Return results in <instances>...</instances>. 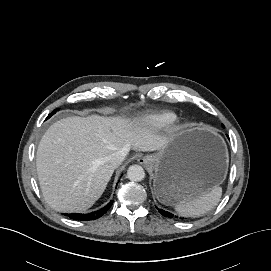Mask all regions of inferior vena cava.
<instances>
[{
    "label": "inferior vena cava",
    "instance_id": "602c4592",
    "mask_svg": "<svg viewBox=\"0 0 271 271\" xmlns=\"http://www.w3.org/2000/svg\"><path fill=\"white\" fill-rule=\"evenodd\" d=\"M127 154L125 150L117 151L109 157V163L116 168L125 160Z\"/></svg>",
    "mask_w": 271,
    "mask_h": 271
}]
</instances>
